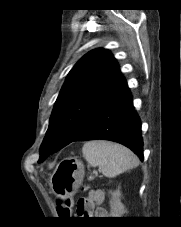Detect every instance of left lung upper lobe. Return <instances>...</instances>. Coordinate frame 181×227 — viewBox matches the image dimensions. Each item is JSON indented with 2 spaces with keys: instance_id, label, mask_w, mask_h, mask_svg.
Listing matches in <instances>:
<instances>
[{
  "instance_id": "obj_1",
  "label": "left lung upper lobe",
  "mask_w": 181,
  "mask_h": 227,
  "mask_svg": "<svg viewBox=\"0 0 181 227\" xmlns=\"http://www.w3.org/2000/svg\"><path fill=\"white\" fill-rule=\"evenodd\" d=\"M124 82L108 50L95 49L83 56L69 72L56 100L38 162L73 142L95 110Z\"/></svg>"
}]
</instances>
